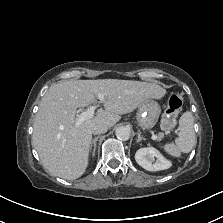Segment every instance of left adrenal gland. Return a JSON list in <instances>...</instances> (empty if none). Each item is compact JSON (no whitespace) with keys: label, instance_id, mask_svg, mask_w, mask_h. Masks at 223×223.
I'll use <instances>...</instances> for the list:
<instances>
[{"label":"left adrenal gland","instance_id":"1","mask_svg":"<svg viewBox=\"0 0 223 223\" xmlns=\"http://www.w3.org/2000/svg\"><path fill=\"white\" fill-rule=\"evenodd\" d=\"M141 140H145L144 137L141 136L140 132H138V139H137V142H141Z\"/></svg>","mask_w":223,"mask_h":223}]
</instances>
